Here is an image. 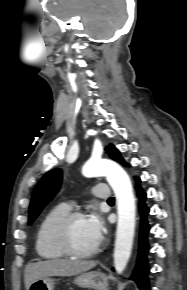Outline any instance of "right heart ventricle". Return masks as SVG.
<instances>
[{
    "instance_id": "e07e8e85",
    "label": "right heart ventricle",
    "mask_w": 187,
    "mask_h": 290,
    "mask_svg": "<svg viewBox=\"0 0 187 290\" xmlns=\"http://www.w3.org/2000/svg\"><path fill=\"white\" fill-rule=\"evenodd\" d=\"M69 211L68 204L60 203L52 207L42 218L35 237V249L40 258L57 260L66 256L56 243L54 229L57 222Z\"/></svg>"
}]
</instances>
